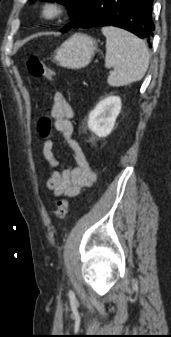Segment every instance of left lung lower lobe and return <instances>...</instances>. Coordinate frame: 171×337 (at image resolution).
Masks as SVG:
<instances>
[{
    "mask_svg": "<svg viewBox=\"0 0 171 337\" xmlns=\"http://www.w3.org/2000/svg\"><path fill=\"white\" fill-rule=\"evenodd\" d=\"M153 0H87L72 28L116 26L150 42Z\"/></svg>",
    "mask_w": 171,
    "mask_h": 337,
    "instance_id": "obj_1",
    "label": "left lung lower lobe"
}]
</instances>
